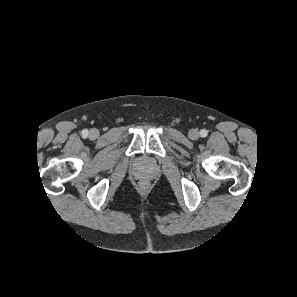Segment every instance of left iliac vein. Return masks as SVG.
Masks as SVG:
<instances>
[{
    "label": "left iliac vein",
    "instance_id": "obj_1",
    "mask_svg": "<svg viewBox=\"0 0 297 297\" xmlns=\"http://www.w3.org/2000/svg\"><path fill=\"white\" fill-rule=\"evenodd\" d=\"M188 136L192 140H197L199 138V132L196 129H191L188 133Z\"/></svg>",
    "mask_w": 297,
    "mask_h": 297
}]
</instances>
